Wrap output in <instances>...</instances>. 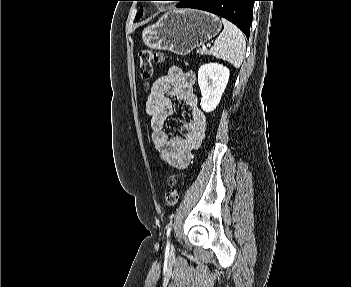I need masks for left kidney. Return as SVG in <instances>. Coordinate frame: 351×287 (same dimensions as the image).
<instances>
[{
    "instance_id": "obj_1",
    "label": "left kidney",
    "mask_w": 351,
    "mask_h": 287,
    "mask_svg": "<svg viewBox=\"0 0 351 287\" xmlns=\"http://www.w3.org/2000/svg\"><path fill=\"white\" fill-rule=\"evenodd\" d=\"M230 71L219 63H207L198 70V84L201 90V108L212 112L219 104L229 80Z\"/></svg>"
}]
</instances>
